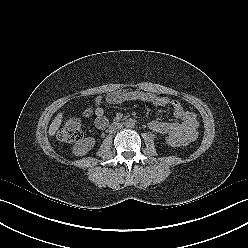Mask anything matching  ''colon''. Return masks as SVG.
Here are the masks:
<instances>
[{
    "label": "colon",
    "instance_id": "obj_1",
    "mask_svg": "<svg viewBox=\"0 0 248 248\" xmlns=\"http://www.w3.org/2000/svg\"><path fill=\"white\" fill-rule=\"evenodd\" d=\"M92 114V109H86L85 115L90 116ZM58 139L71 143L80 140L83 136L81 123L78 119H69L58 131ZM166 142L171 147H179L184 144L183 140L177 136L168 135L166 137Z\"/></svg>",
    "mask_w": 248,
    "mask_h": 248
}]
</instances>
